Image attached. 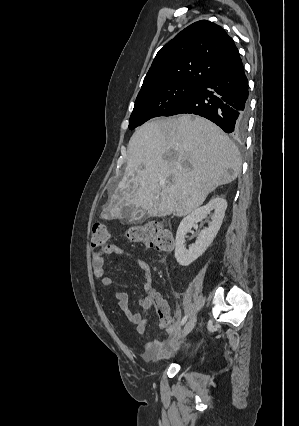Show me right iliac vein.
Masks as SVG:
<instances>
[{
	"instance_id": "right-iliac-vein-1",
	"label": "right iliac vein",
	"mask_w": 299,
	"mask_h": 426,
	"mask_svg": "<svg viewBox=\"0 0 299 426\" xmlns=\"http://www.w3.org/2000/svg\"><path fill=\"white\" fill-rule=\"evenodd\" d=\"M196 320H197L196 315L195 314L192 315L190 319L188 320V322L186 323V325L184 326V328L178 334V338H183L187 336L193 330L196 324Z\"/></svg>"
}]
</instances>
